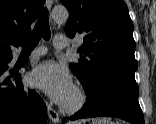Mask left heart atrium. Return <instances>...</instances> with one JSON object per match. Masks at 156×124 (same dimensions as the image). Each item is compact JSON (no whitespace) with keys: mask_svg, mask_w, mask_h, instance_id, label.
Listing matches in <instances>:
<instances>
[{"mask_svg":"<svg viewBox=\"0 0 156 124\" xmlns=\"http://www.w3.org/2000/svg\"><path fill=\"white\" fill-rule=\"evenodd\" d=\"M30 80L35 87L43 90L60 104L65 102L74 87L67 69L52 61L36 66L30 75Z\"/></svg>","mask_w":156,"mask_h":124,"instance_id":"left-heart-atrium-1","label":"left heart atrium"}]
</instances>
